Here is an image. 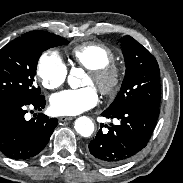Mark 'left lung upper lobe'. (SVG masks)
Instances as JSON below:
<instances>
[{
  "mask_svg": "<svg viewBox=\"0 0 183 183\" xmlns=\"http://www.w3.org/2000/svg\"><path fill=\"white\" fill-rule=\"evenodd\" d=\"M126 72L121 90L106 109L113 112L133 104L160 105V71L154 56L131 36L120 40Z\"/></svg>",
  "mask_w": 183,
  "mask_h": 183,
  "instance_id": "5c2ea615",
  "label": "left lung upper lobe"
}]
</instances>
